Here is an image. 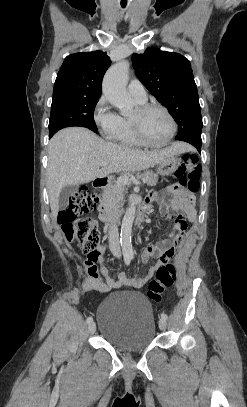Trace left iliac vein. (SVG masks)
Returning a JSON list of instances; mask_svg holds the SVG:
<instances>
[{"instance_id": "4c4485c4", "label": "left iliac vein", "mask_w": 247, "mask_h": 407, "mask_svg": "<svg viewBox=\"0 0 247 407\" xmlns=\"http://www.w3.org/2000/svg\"><path fill=\"white\" fill-rule=\"evenodd\" d=\"M166 326H167V322H166V320H164V319H160L159 320V328L161 329V330H165L166 329Z\"/></svg>"}]
</instances>
